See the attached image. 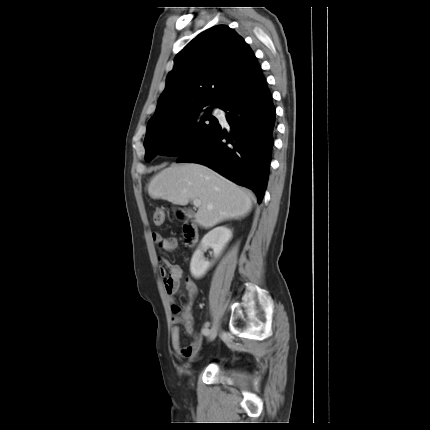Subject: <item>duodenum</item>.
I'll return each instance as SVG.
<instances>
[{
    "instance_id": "1",
    "label": "duodenum",
    "mask_w": 430,
    "mask_h": 430,
    "mask_svg": "<svg viewBox=\"0 0 430 430\" xmlns=\"http://www.w3.org/2000/svg\"><path fill=\"white\" fill-rule=\"evenodd\" d=\"M183 237L187 245L193 246L198 241V229L191 219H184L182 226Z\"/></svg>"
}]
</instances>
